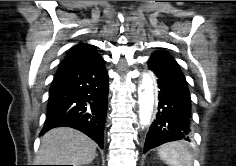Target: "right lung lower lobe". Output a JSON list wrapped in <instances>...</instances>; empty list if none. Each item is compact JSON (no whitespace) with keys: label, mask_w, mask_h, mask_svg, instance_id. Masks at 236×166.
Segmentation results:
<instances>
[{"label":"right lung lower lobe","mask_w":236,"mask_h":166,"mask_svg":"<svg viewBox=\"0 0 236 166\" xmlns=\"http://www.w3.org/2000/svg\"><path fill=\"white\" fill-rule=\"evenodd\" d=\"M108 91L104 60L87 67L58 69L42 134L59 126L72 127L103 148Z\"/></svg>","instance_id":"98d812e1"}]
</instances>
